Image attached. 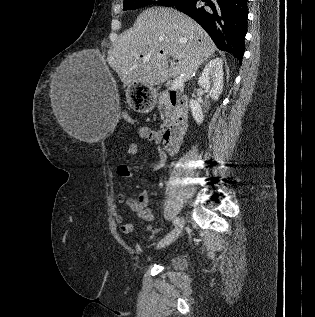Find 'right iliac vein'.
I'll return each instance as SVG.
<instances>
[{
	"label": "right iliac vein",
	"mask_w": 315,
	"mask_h": 317,
	"mask_svg": "<svg viewBox=\"0 0 315 317\" xmlns=\"http://www.w3.org/2000/svg\"><path fill=\"white\" fill-rule=\"evenodd\" d=\"M184 226V219H181L177 226L172 230L170 234H168L164 239L159 241L157 244V248H163L165 246L170 245L173 241H175L180 235Z\"/></svg>",
	"instance_id": "right-iliac-vein-1"
}]
</instances>
